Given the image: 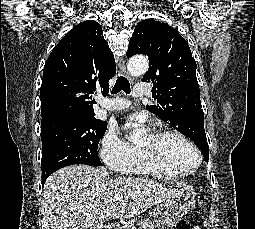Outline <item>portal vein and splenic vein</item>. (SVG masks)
<instances>
[{
  "label": "portal vein and splenic vein",
  "mask_w": 255,
  "mask_h": 229,
  "mask_svg": "<svg viewBox=\"0 0 255 229\" xmlns=\"http://www.w3.org/2000/svg\"><path fill=\"white\" fill-rule=\"evenodd\" d=\"M119 199V197L118 196H115V200H118Z\"/></svg>",
  "instance_id": "18ae733b"
}]
</instances>
